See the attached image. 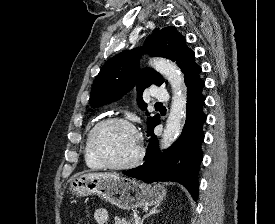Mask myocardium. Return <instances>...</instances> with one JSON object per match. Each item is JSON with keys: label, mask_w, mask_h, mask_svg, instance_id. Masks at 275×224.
Instances as JSON below:
<instances>
[{"label": "myocardium", "mask_w": 275, "mask_h": 224, "mask_svg": "<svg viewBox=\"0 0 275 224\" xmlns=\"http://www.w3.org/2000/svg\"><path fill=\"white\" fill-rule=\"evenodd\" d=\"M111 124H123V125L129 127L134 132V134L136 136V139L138 142L137 153H136L135 157L132 160H130L129 162L122 163V164L112 163L104 156V154L99 149V146H98L99 134L104 127L111 125ZM89 145H90V149H91V152L94 155V157L104 167L113 169V170H126V169L133 168L141 163V161L143 160L144 154H145L143 138H142V135H141L140 131L138 130L137 126L129 119H127L125 117H121V116H109V117H106V118L100 120L99 122H97L93 126V128L90 132Z\"/></svg>", "instance_id": "obj_1"}]
</instances>
